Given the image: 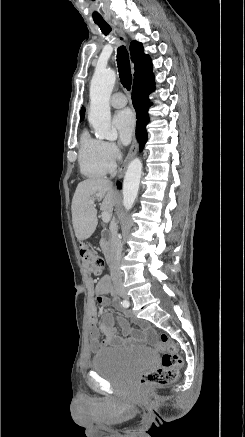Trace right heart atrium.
Listing matches in <instances>:
<instances>
[{"instance_id":"1","label":"right heart atrium","mask_w":245,"mask_h":437,"mask_svg":"<svg viewBox=\"0 0 245 437\" xmlns=\"http://www.w3.org/2000/svg\"><path fill=\"white\" fill-rule=\"evenodd\" d=\"M102 154L109 170H114L117 162L121 158V149L119 145L110 141L102 142Z\"/></svg>"}]
</instances>
